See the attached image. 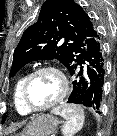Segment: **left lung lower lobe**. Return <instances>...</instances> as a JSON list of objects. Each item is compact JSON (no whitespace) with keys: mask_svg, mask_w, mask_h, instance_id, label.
Here are the masks:
<instances>
[{"mask_svg":"<svg viewBox=\"0 0 117 136\" xmlns=\"http://www.w3.org/2000/svg\"><path fill=\"white\" fill-rule=\"evenodd\" d=\"M69 72L73 76V91L68 103L81 104L100 113L106 72L100 34L89 39L85 52L78 55Z\"/></svg>","mask_w":117,"mask_h":136,"instance_id":"1","label":"left lung lower lobe"}]
</instances>
